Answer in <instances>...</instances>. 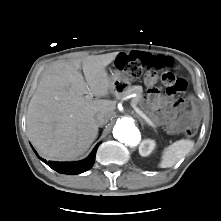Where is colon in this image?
Segmentation results:
<instances>
[{
  "instance_id": "5ec220e1",
  "label": "colon",
  "mask_w": 221,
  "mask_h": 221,
  "mask_svg": "<svg viewBox=\"0 0 221 221\" xmlns=\"http://www.w3.org/2000/svg\"><path fill=\"white\" fill-rule=\"evenodd\" d=\"M172 60L164 55L150 56L145 53L132 58L130 54H119L116 59L117 68L131 79L150 77L154 75V69H164L171 64ZM162 81L169 95L180 94L186 91L187 80L173 72H165ZM198 125L192 123L185 128V135L192 137L197 133Z\"/></svg>"
}]
</instances>
